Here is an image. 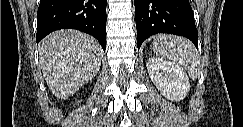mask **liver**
<instances>
[{
    "label": "liver",
    "mask_w": 243,
    "mask_h": 127,
    "mask_svg": "<svg viewBox=\"0 0 243 127\" xmlns=\"http://www.w3.org/2000/svg\"><path fill=\"white\" fill-rule=\"evenodd\" d=\"M102 50L92 36L77 30H59L39 45V62L52 94L59 99L73 95L92 80L101 65Z\"/></svg>",
    "instance_id": "6515ba94"
}]
</instances>
